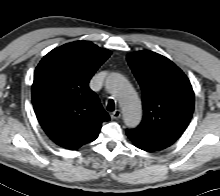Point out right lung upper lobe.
I'll return each instance as SVG.
<instances>
[{"instance_id":"obj_1","label":"right lung upper lobe","mask_w":220,"mask_h":196,"mask_svg":"<svg viewBox=\"0 0 220 196\" xmlns=\"http://www.w3.org/2000/svg\"><path fill=\"white\" fill-rule=\"evenodd\" d=\"M111 52L90 41L53 49L38 64L32 86L36 117L57 145L76 150L94 141L110 120L88 84Z\"/></svg>"}]
</instances>
